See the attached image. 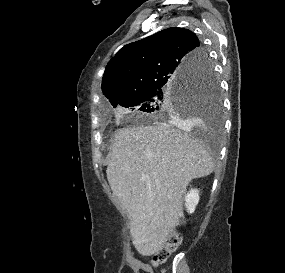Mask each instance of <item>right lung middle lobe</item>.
Segmentation results:
<instances>
[{
	"label": "right lung middle lobe",
	"instance_id": "obj_1",
	"mask_svg": "<svg viewBox=\"0 0 285 273\" xmlns=\"http://www.w3.org/2000/svg\"><path fill=\"white\" fill-rule=\"evenodd\" d=\"M206 64L201 72L189 74L181 81L158 85L120 103L158 118L178 119L191 115L209 118L216 131L221 129L222 100L217 76L205 52ZM117 104L113 105L116 107Z\"/></svg>",
	"mask_w": 285,
	"mask_h": 273
}]
</instances>
